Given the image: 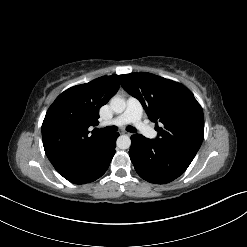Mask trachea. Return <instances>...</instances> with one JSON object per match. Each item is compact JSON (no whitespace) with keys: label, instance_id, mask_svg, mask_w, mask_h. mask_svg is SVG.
I'll list each match as a JSON object with an SVG mask.
<instances>
[{"label":"trachea","instance_id":"trachea-1","mask_svg":"<svg viewBox=\"0 0 247 247\" xmlns=\"http://www.w3.org/2000/svg\"><path fill=\"white\" fill-rule=\"evenodd\" d=\"M101 130L106 132V133H111V132L117 131L118 128L116 126H107L105 128H102ZM126 130L131 132V133H135L137 131L136 128L132 127V126H127Z\"/></svg>","mask_w":247,"mask_h":247}]
</instances>
